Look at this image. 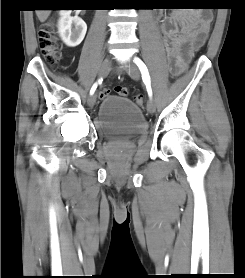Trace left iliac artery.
Masks as SVG:
<instances>
[{"instance_id":"left-iliac-artery-1","label":"left iliac artery","mask_w":245,"mask_h":278,"mask_svg":"<svg viewBox=\"0 0 245 278\" xmlns=\"http://www.w3.org/2000/svg\"><path fill=\"white\" fill-rule=\"evenodd\" d=\"M134 62L136 63V65L139 67V69L141 71L142 79H143V82L146 84L149 97H152L151 81H150V76H149V72H148L146 65L139 58H135Z\"/></svg>"}]
</instances>
